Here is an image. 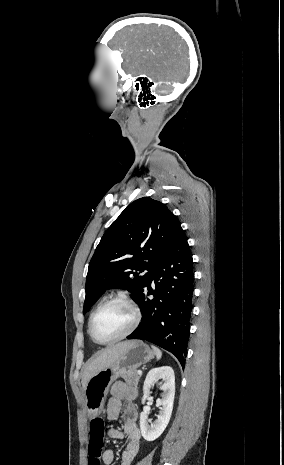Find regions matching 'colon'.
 I'll list each match as a JSON object with an SVG mask.
<instances>
[{
	"label": "colon",
	"mask_w": 284,
	"mask_h": 465,
	"mask_svg": "<svg viewBox=\"0 0 284 465\" xmlns=\"http://www.w3.org/2000/svg\"><path fill=\"white\" fill-rule=\"evenodd\" d=\"M88 428L87 435L88 438L91 439L87 448V464L101 465L100 448L105 447V440L100 438H105V435L108 432V427L105 425L104 421H89Z\"/></svg>",
	"instance_id": "5ec220e1"
}]
</instances>
